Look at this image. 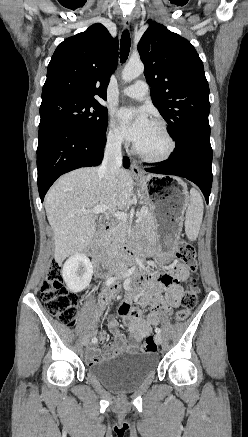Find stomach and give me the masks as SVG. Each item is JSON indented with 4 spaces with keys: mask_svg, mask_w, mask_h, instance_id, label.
<instances>
[{
    "mask_svg": "<svg viewBox=\"0 0 248 437\" xmlns=\"http://www.w3.org/2000/svg\"><path fill=\"white\" fill-rule=\"evenodd\" d=\"M136 180L153 213L160 248L164 254L172 253L188 206L187 189L178 178L166 175L148 174Z\"/></svg>",
    "mask_w": 248,
    "mask_h": 437,
    "instance_id": "stomach-1",
    "label": "stomach"
}]
</instances>
